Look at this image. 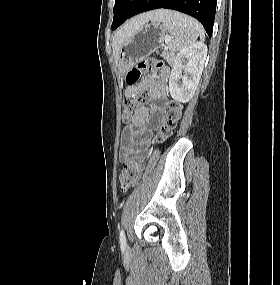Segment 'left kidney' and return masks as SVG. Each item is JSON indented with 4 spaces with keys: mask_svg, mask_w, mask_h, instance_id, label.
I'll return each mask as SVG.
<instances>
[{
    "mask_svg": "<svg viewBox=\"0 0 280 285\" xmlns=\"http://www.w3.org/2000/svg\"><path fill=\"white\" fill-rule=\"evenodd\" d=\"M206 56L207 46L202 42L193 43L176 55L169 78V92L174 100L186 103L193 97ZM182 71L186 74L182 75Z\"/></svg>",
    "mask_w": 280,
    "mask_h": 285,
    "instance_id": "5707ae66",
    "label": "left kidney"
}]
</instances>
